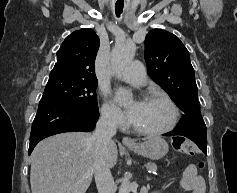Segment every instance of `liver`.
<instances>
[{
  "mask_svg": "<svg viewBox=\"0 0 237 193\" xmlns=\"http://www.w3.org/2000/svg\"><path fill=\"white\" fill-rule=\"evenodd\" d=\"M94 151L91 133L67 132L42 140L31 155L32 193H85L94 174ZM117 159V146L112 141L109 168Z\"/></svg>",
  "mask_w": 237,
  "mask_h": 193,
  "instance_id": "6515ba94",
  "label": "liver"
}]
</instances>
